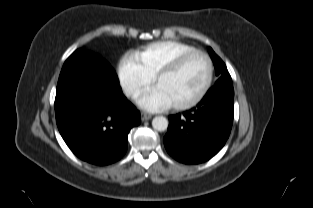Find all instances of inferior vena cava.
Returning <instances> with one entry per match:
<instances>
[{"mask_svg": "<svg viewBox=\"0 0 313 208\" xmlns=\"http://www.w3.org/2000/svg\"><path fill=\"white\" fill-rule=\"evenodd\" d=\"M136 90L132 87H128L124 89V93L126 96H131Z\"/></svg>", "mask_w": 313, "mask_h": 208, "instance_id": "1", "label": "inferior vena cava"}]
</instances>
